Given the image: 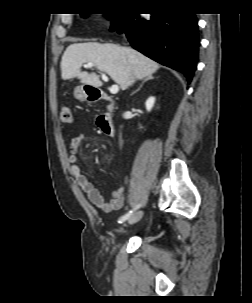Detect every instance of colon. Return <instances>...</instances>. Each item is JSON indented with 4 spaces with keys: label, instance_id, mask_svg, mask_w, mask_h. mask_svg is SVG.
<instances>
[{
    "label": "colon",
    "instance_id": "5ec220e1",
    "mask_svg": "<svg viewBox=\"0 0 252 303\" xmlns=\"http://www.w3.org/2000/svg\"><path fill=\"white\" fill-rule=\"evenodd\" d=\"M60 121L64 124H71L73 122V115L69 107H62L60 111Z\"/></svg>",
    "mask_w": 252,
    "mask_h": 303
}]
</instances>
